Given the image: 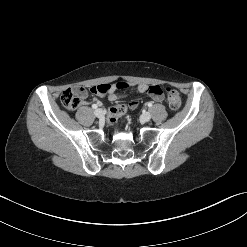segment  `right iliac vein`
<instances>
[{"mask_svg":"<svg viewBox=\"0 0 247 247\" xmlns=\"http://www.w3.org/2000/svg\"><path fill=\"white\" fill-rule=\"evenodd\" d=\"M94 114H95V116L98 117V118H102V117L104 116V113H103V111H102L101 109H96V110L94 111Z\"/></svg>","mask_w":247,"mask_h":247,"instance_id":"1","label":"right iliac vein"}]
</instances>
